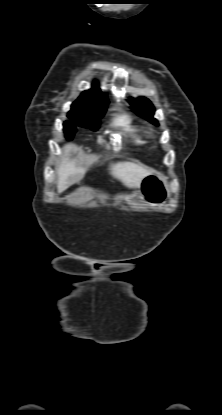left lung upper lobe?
<instances>
[{
  "label": "left lung upper lobe",
  "mask_w": 222,
  "mask_h": 415,
  "mask_svg": "<svg viewBox=\"0 0 222 415\" xmlns=\"http://www.w3.org/2000/svg\"><path fill=\"white\" fill-rule=\"evenodd\" d=\"M130 102L134 107L135 112L150 121L151 123L158 125V121L153 118L155 108L152 103L145 97H139L137 99L130 98Z\"/></svg>",
  "instance_id": "5c2ea615"
}]
</instances>
